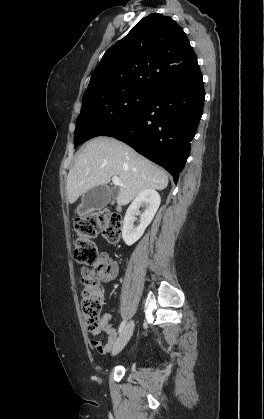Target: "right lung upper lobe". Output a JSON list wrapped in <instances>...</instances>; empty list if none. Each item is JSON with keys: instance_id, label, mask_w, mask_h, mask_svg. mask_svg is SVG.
Wrapping results in <instances>:
<instances>
[{"instance_id": "right-lung-upper-lobe-1", "label": "right lung upper lobe", "mask_w": 264, "mask_h": 419, "mask_svg": "<svg viewBox=\"0 0 264 419\" xmlns=\"http://www.w3.org/2000/svg\"><path fill=\"white\" fill-rule=\"evenodd\" d=\"M201 75L183 29L170 17L153 13L106 51L84 96L130 88L153 92L166 85L193 82Z\"/></svg>"}]
</instances>
